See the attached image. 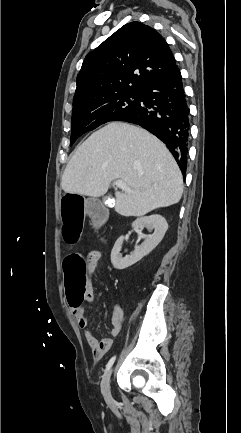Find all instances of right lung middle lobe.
<instances>
[{
  "instance_id": "right-lung-middle-lobe-1",
  "label": "right lung middle lobe",
  "mask_w": 241,
  "mask_h": 433,
  "mask_svg": "<svg viewBox=\"0 0 241 433\" xmlns=\"http://www.w3.org/2000/svg\"><path fill=\"white\" fill-rule=\"evenodd\" d=\"M140 98V91H127L73 104L70 145L85 132L130 114L138 106Z\"/></svg>"
}]
</instances>
